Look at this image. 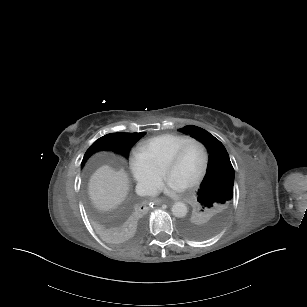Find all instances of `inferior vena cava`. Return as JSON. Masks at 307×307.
Here are the masks:
<instances>
[{
  "instance_id": "obj_1",
  "label": "inferior vena cava",
  "mask_w": 307,
  "mask_h": 307,
  "mask_svg": "<svg viewBox=\"0 0 307 307\" xmlns=\"http://www.w3.org/2000/svg\"><path fill=\"white\" fill-rule=\"evenodd\" d=\"M136 192L141 196H155L157 194V188L151 185L138 184L136 186Z\"/></svg>"
}]
</instances>
